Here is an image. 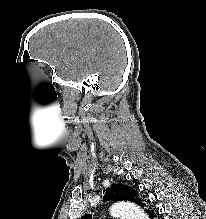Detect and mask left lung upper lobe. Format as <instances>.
<instances>
[{
  "label": "left lung upper lobe",
  "instance_id": "obj_1",
  "mask_svg": "<svg viewBox=\"0 0 206 219\" xmlns=\"http://www.w3.org/2000/svg\"><path fill=\"white\" fill-rule=\"evenodd\" d=\"M112 200L114 202L119 200H129L135 202L140 206L144 204L140 201L138 197V192L127 185L113 184L110 188L106 190V194L103 201ZM80 219H92V216L85 214Z\"/></svg>",
  "mask_w": 206,
  "mask_h": 219
}]
</instances>
